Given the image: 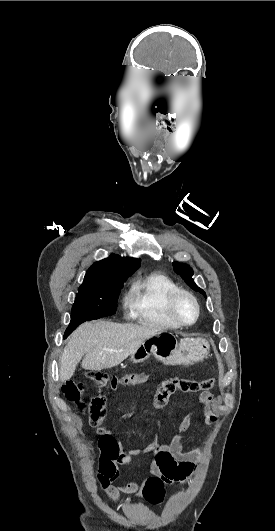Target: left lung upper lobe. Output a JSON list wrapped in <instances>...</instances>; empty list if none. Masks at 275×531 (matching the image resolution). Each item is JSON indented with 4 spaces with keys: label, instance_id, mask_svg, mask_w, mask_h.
Segmentation results:
<instances>
[{
    "label": "left lung upper lobe",
    "instance_id": "left-lung-upper-lobe-1",
    "mask_svg": "<svg viewBox=\"0 0 275 531\" xmlns=\"http://www.w3.org/2000/svg\"><path fill=\"white\" fill-rule=\"evenodd\" d=\"M172 265L174 271L179 274L193 290L200 292L206 297L205 292L194 283V280L192 278L193 270L189 265L179 262H173Z\"/></svg>",
    "mask_w": 275,
    "mask_h": 531
}]
</instances>
